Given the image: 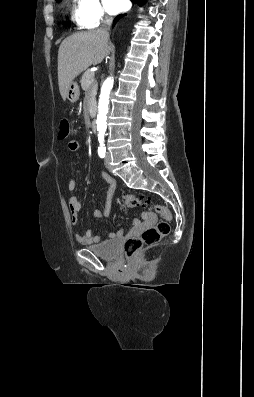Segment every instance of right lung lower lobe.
Here are the masks:
<instances>
[{"label":"right lung lower lobe","mask_w":254,"mask_h":397,"mask_svg":"<svg viewBox=\"0 0 254 397\" xmlns=\"http://www.w3.org/2000/svg\"><path fill=\"white\" fill-rule=\"evenodd\" d=\"M133 3H136V4H138L139 6H141V5H143L144 3H145V1L146 0H131ZM126 14H123V15H118L116 18H115V20H114V22H113V26L123 17V16H125Z\"/></svg>","instance_id":"right-lung-lower-lobe-1"}]
</instances>
